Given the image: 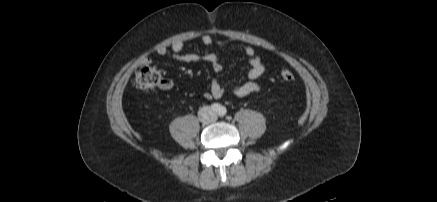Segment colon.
I'll use <instances>...</instances> for the list:
<instances>
[{
    "instance_id": "5ec220e1",
    "label": "colon",
    "mask_w": 437,
    "mask_h": 202,
    "mask_svg": "<svg viewBox=\"0 0 437 202\" xmlns=\"http://www.w3.org/2000/svg\"><path fill=\"white\" fill-rule=\"evenodd\" d=\"M284 81L290 82L295 79L294 74L289 70H283L280 74ZM161 71L149 63L140 64L135 71L134 84L141 90H152L161 87L164 83Z\"/></svg>"
}]
</instances>
